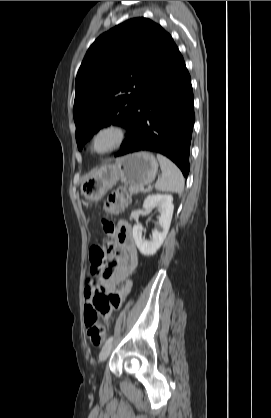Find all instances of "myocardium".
<instances>
[{"label": "myocardium", "mask_w": 271, "mask_h": 418, "mask_svg": "<svg viewBox=\"0 0 271 418\" xmlns=\"http://www.w3.org/2000/svg\"><path fill=\"white\" fill-rule=\"evenodd\" d=\"M126 139L125 128L117 123H108L96 128L89 138L88 148L92 155L105 156L123 145ZM105 140L100 146V142Z\"/></svg>", "instance_id": "myocardium-1"}]
</instances>
